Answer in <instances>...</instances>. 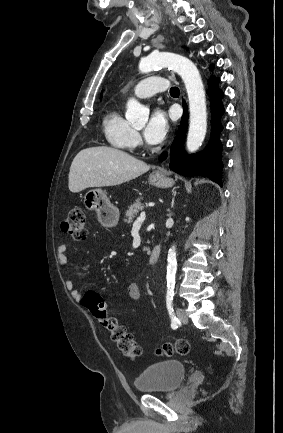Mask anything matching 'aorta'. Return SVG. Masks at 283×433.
I'll list each match as a JSON object with an SVG mask.
<instances>
[{
  "mask_svg": "<svg viewBox=\"0 0 283 433\" xmlns=\"http://www.w3.org/2000/svg\"><path fill=\"white\" fill-rule=\"evenodd\" d=\"M168 67L178 73L186 87L189 100V131L187 135V150L197 151L202 145L207 131V111L203 82L197 67L188 58L170 53L153 52L141 59L139 70L148 73L158 68ZM149 109L135 99L127 102L126 119L136 124H144L148 120ZM167 286L175 285L177 270L175 246L169 249L167 258Z\"/></svg>",
  "mask_w": 283,
  "mask_h": 433,
  "instance_id": "aorta-1",
  "label": "aorta"
}]
</instances>
